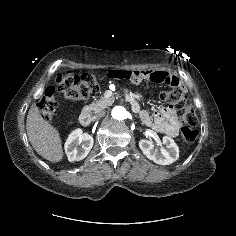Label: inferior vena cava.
Listing matches in <instances>:
<instances>
[{"instance_id":"obj_1","label":"inferior vena cava","mask_w":236,"mask_h":236,"mask_svg":"<svg viewBox=\"0 0 236 236\" xmlns=\"http://www.w3.org/2000/svg\"><path fill=\"white\" fill-rule=\"evenodd\" d=\"M104 116V112H99L92 117V121H97Z\"/></svg>"}]
</instances>
